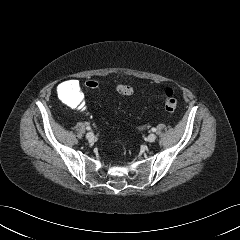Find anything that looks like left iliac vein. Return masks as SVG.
Segmentation results:
<instances>
[{"label":"left iliac vein","mask_w":240,"mask_h":240,"mask_svg":"<svg viewBox=\"0 0 240 240\" xmlns=\"http://www.w3.org/2000/svg\"><path fill=\"white\" fill-rule=\"evenodd\" d=\"M156 140V135L155 134H149L147 137L148 142H154Z\"/></svg>","instance_id":"obj_1"}]
</instances>
